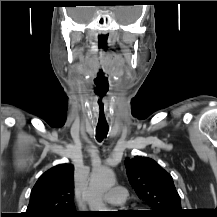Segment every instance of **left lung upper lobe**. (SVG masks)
Instances as JSON below:
<instances>
[{
  "instance_id": "left-lung-upper-lobe-1",
  "label": "left lung upper lobe",
  "mask_w": 217,
  "mask_h": 217,
  "mask_svg": "<svg viewBox=\"0 0 217 217\" xmlns=\"http://www.w3.org/2000/svg\"><path fill=\"white\" fill-rule=\"evenodd\" d=\"M130 184L152 208L151 217H182L181 200L171 175L150 158L135 156L125 160Z\"/></svg>"
}]
</instances>
